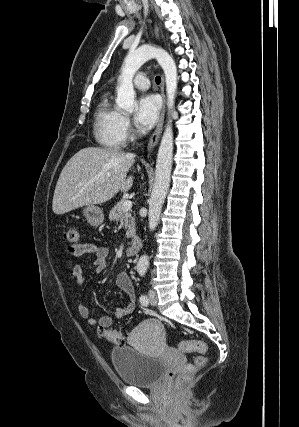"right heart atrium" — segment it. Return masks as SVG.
I'll use <instances>...</instances> for the list:
<instances>
[{"label":"right heart atrium","instance_id":"obj_1","mask_svg":"<svg viewBox=\"0 0 299 427\" xmlns=\"http://www.w3.org/2000/svg\"><path fill=\"white\" fill-rule=\"evenodd\" d=\"M121 128H122V134H123L124 140L130 138L131 135L133 134V128L127 116L122 117Z\"/></svg>","mask_w":299,"mask_h":427}]
</instances>
